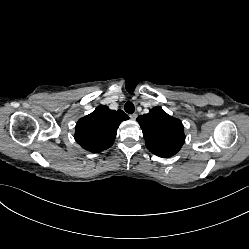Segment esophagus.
Segmentation results:
<instances>
[{
	"label": "esophagus",
	"instance_id": "1",
	"mask_svg": "<svg viewBox=\"0 0 249 249\" xmlns=\"http://www.w3.org/2000/svg\"><path fill=\"white\" fill-rule=\"evenodd\" d=\"M130 118H131L132 120H135V119L137 118V114H136V113L131 114V115H130Z\"/></svg>",
	"mask_w": 249,
	"mask_h": 249
}]
</instances>
